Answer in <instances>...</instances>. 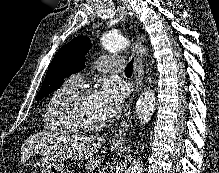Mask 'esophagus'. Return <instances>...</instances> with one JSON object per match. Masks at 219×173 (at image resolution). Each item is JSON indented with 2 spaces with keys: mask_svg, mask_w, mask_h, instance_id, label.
Listing matches in <instances>:
<instances>
[{
  "mask_svg": "<svg viewBox=\"0 0 219 173\" xmlns=\"http://www.w3.org/2000/svg\"><path fill=\"white\" fill-rule=\"evenodd\" d=\"M143 63L141 57L138 55L135 60V91L139 90L142 85V79H143ZM131 119H132V108L129 105L126 108V111L124 113L123 119L120 122L119 127L115 131V134L112 138V144L114 146H124L127 142V133L129 130V127L131 125Z\"/></svg>",
  "mask_w": 219,
  "mask_h": 173,
  "instance_id": "34e87169",
  "label": "esophagus"
}]
</instances>
